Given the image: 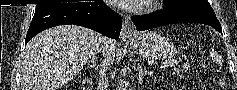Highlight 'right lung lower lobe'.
I'll use <instances>...</instances> for the list:
<instances>
[{
    "label": "right lung lower lobe",
    "mask_w": 237,
    "mask_h": 90,
    "mask_svg": "<svg viewBox=\"0 0 237 90\" xmlns=\"http://www.w3.org/2000/svg\"><path fill=\"white\" fill-rule=\"evenodd\" d=\"M65 24L87 27L118 40L122 18L103 1L52 4L35 10L25 44L39 32Z\"/></svg>",
    "instance_id": "obj_1"
}]
</instances>
